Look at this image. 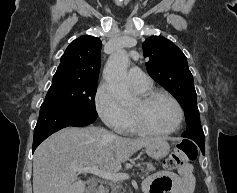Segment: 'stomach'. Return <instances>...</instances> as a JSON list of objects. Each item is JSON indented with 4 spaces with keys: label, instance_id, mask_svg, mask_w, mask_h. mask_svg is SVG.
<instances>
[{
    "label": "stomach",
    "instance_id": "1",
    "mask_svg": "<svg viewBox=\"0 0 237 193\" xmlns=\"http://www.w3.org/2000/svg\"><path fill=\"white\" fill-rule=\"evenodd\" d=\"M145 152L153 159L159 160L165 158L170 152V145L165 139L156 138L145 146Z\"/></svg>",
    "mask_w": 237,
    "mask_h": 193
}]
</instances>
